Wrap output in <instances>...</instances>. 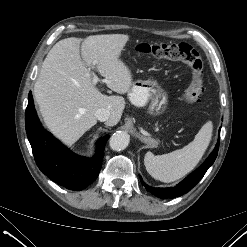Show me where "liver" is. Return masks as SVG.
<instances>
[{"label":"liver","instance_id":"6515ba94","mask_svg":"<svg viewBox=\"0 0 247 247\" xmlns=\"http://www.w3.org/2000/svg\"><path fill=\"white\" fill-rule=\"evenodd\" d=\"M129 41L126 34L70 37L57 42L46 56L34 85V96L47 128L72 145L97 123L95 111L110 112L108 126L116 125L125 108L122 96L102 94L93 84L91 69L105 78L107 87L128 93L133 79L120 59Z\"/></svg>","mask_w":247,"mask_h":247}]
</instances>
